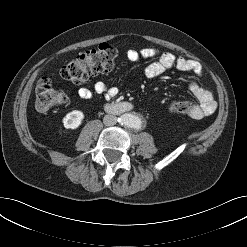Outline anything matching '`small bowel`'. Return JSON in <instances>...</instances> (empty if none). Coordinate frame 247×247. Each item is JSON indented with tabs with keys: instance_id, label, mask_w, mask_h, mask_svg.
I'll list each match as a JSON object with an SVG mask.
<instances>
[{
	"instance_id": "obj_1",
	"label": "small bowel",
	"mask_w": 247,
	"mask_h": 247,
	"mask_svg": "<svg viewBox=\"0 0 247 247\" xmlns=\"http://www.w3.org/2000/svg\"><path fill=\"white\" fill-rule=\"evenodd\" d=\"M158 57V59L144 69V74L148 78H154L164 71L175 68L180 71H189L196 76H201L202 66L194 60L184 57H177L170 52L160 53L154 48H144L142 50H128L127 58L132 62H137L141 59ZM190 89L199 100L200 105L197 106L190 117L201 119L212 114L216 109V101L213 92L206 87L201 86L195 80L189 83ZM118 94V89L114 86H109L106 83L99 81L94 85L93 90L89 88H81L78 91V96L83 100H93L95 95L113 98Z\"/></svg>"
}]
</instances>
